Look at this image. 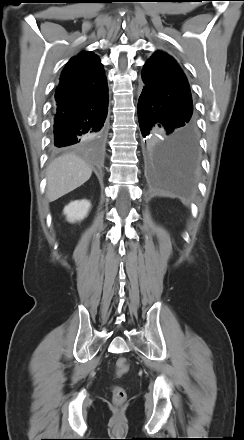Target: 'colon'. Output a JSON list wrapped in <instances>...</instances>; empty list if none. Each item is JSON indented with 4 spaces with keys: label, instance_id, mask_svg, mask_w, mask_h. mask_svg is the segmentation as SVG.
Masks as SVG:
<instances>
[{
    "label": "colon",
    "instance_id": "5ec220e1",
    "mask_svg": "<svg viewBox=\"0 0 244 440\" xmlns=\"http://www.w3.org/2000/svg\"><path fill=\"white\" fill-rule=\"evenodd\" d=\"M129 368V362L126 358L121 357L116 362V374L121 375L125 373ZM113 401L116 404H122L126 400V391L121 386H114L112 389Z\"/></svg>",
    "mask_w": 244,
    "mask_h": 440
}]
</instances>
